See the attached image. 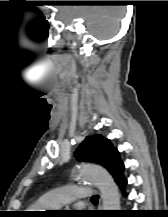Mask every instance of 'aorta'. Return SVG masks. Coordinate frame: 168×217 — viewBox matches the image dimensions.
Segmentation results:
<instances>
[{
  "label": "aorta",
  "mask_w": 168,
  "mask_h": 217,
  "mask_svg": "<svg viewBox=\"0 0 168 217\" xmlns=\"http://www.w3.org/2000/svg\"><path fill=\"white\" fill-rule=\"evenodd\" d=\"M78 177L96 186L103 200V210H120V194L111 175L102 167L83 164L78 167Z\"/></svg>",
  "instance_id": "aorta-1"
}]
</instances>
